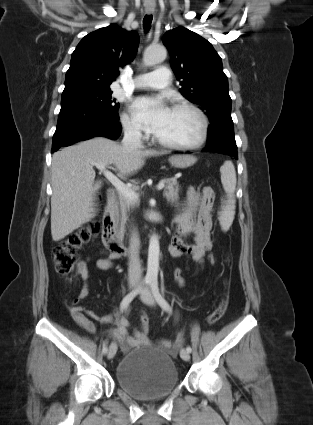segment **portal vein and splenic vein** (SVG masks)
Wrapping results in <instances>:
<instances>
[{
    "mask_svg": "<svg viewBox=\"0 0 313 425\" xmlns=\"http://www.w3.org/2000/svg\"><path fill=\"white\" fill-rule=\"evenodd\" d=\"M92 166L97 167L106 177V179L116 188V190L122 194L125 198L136 201L139 195L133 191L129 186L125 185L117 176L107 169L108 164L91 162ZM165 187V183L161 182L157 185V190H162Z\"/></svg>",
    "mask_w": 313,
    "mask_h": 425,
    "instance_id": "1",
    "label": "portal vein and splenic vein"
}]
</instances>
